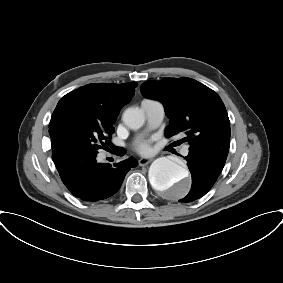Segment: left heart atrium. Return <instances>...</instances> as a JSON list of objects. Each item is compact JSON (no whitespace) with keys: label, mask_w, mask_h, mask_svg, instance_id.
Returning <instances> with one entry per match:
<instances>
[{"label":"left heart atrium","mask_w":283,"mask_h":283,"mask_svg":"<svg viewBox=\"0 0 283 283\" xmlns=\"http://www.w3.org/2000/svg\"><path fill=\"white\" fill-rule=\"evenodd\" d=\"M136 150L143 155H149L152 153L151 141L145 140L137 144Z\"/></svg>","instance_id":"1"}]
</instances>
